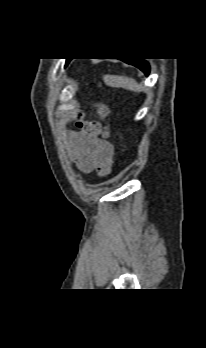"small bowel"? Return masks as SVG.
Returning <instances> with one entry per match:
<instances>
[{"label": "small bowel", "mask_w": 206, "mask_h": 348, "mask_svg": "<svg viewBox=\"0 0 206 348\" xmlns=\"http://www.w3.org/2000/svg\"><path fill=\"white\" fill-rule=\"evenodd\" d=\"M72 156L83 172L96 171L100 176L110 173L113 164V145L88 133L71 132Z\"/></svg>", "instance_id": "small-bowel-1"}]
</instances>
